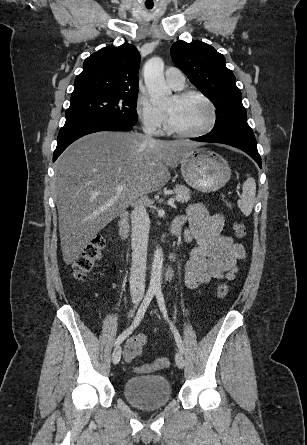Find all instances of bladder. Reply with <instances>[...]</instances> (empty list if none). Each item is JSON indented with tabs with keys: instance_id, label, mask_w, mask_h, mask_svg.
I'll list each match as a JSON object with an SVG mask.
<instances>
[{
	"instance_id": "1",
	"label": "bladder",
	"mask_w": 307,
	"mask_h": 445,
	"mask_svg": "<svg viewBox=\"0 0 307 445\" xmlns=\"http://www.w3.org/2000/svg\"><path fill=\"white\" fill-rule=\"evenodd\" d=\"M122 391L131 405L142 410L160 409L172 398L170 382L157 374L130 377L124 382Z\"/></svg>"
}]
</instances>
